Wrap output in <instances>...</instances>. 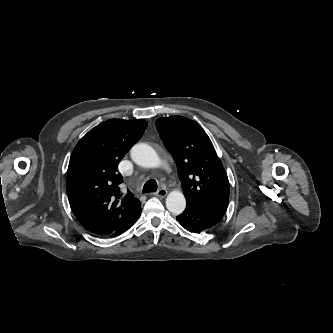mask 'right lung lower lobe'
Returning <instances> with one entry per match:
<instances>
[{
	"label": "right lung lower lobe",
	"instance_id": "obj_1",
	"mask_svg": "<svg viewBox=\"0 0 333 333\" xmlns=\"http://www.w3.org/2000/svg\"><path fill=\"white\" fill-rule=\"evenodd\" d=\"M141 212L136 216L134 217L127 225H125L123 228L117 230L115 233H113L111 236L114 237V236H117V235H120L121 233L125 232L126 230H128L131 226L134 225V223L137 221V219L139 218Z\"/></svg>",
	"mask_w": 333,
	"mask_h": 333
}]
</instances>
